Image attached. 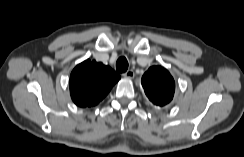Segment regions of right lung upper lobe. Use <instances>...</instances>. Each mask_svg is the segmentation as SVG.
I'll return each instance as SVG.
<instances>
[{
	"mask_svg": "<svg viewBox=\"0 0 244 157\" xmlns=\"http://www.w3.org/2000/svg\"><path fill=\"white\" fill-rule=\"evenodd\" d=\"M120 79L109 66L85 60L77 65L70 75V93L80 107L97 105Z\"/></svg>",
	"mask_w": 244,
	"mask_h": 157,
	"instance_id": "obj_1",
	"label": "right lung upper lobe"
}]
</instances>
